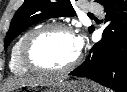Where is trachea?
I'll list each match as a JSON object with an SVG mask.
<instances>
[{"instance_id": "1", "label": "trachea", "mask_w": 127, "mask_h": 92, "mask_svg": "<svg viewBox=\"0 0 127 92\" xmlns=\"http://www.w3.org/2000/svg\"><path fill=\"white\" fill-rule=\"evenodd\" d=\"M88 16H94L93 14L89 13Z\"/></svg>"}]
</instances>
